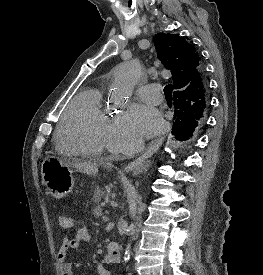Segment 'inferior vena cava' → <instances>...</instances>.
Segmentation results:
<instances>
[{
  "label": "inferior vena cava",
  "instance_id": "1",
  "mask_svg": "<svg viewBox=\"0 0 263 275\" xmlns=\"http://www.w3.org/2000/svg\"><path fill=\"white\" fill-rule=\"evenodd\" d=\"M144 148V141L142 138L138 139L135 145V148L133 149V151H129V152H125V154L131 156L136 152L141 151Z\"/></svg>",
  "mask_w": 263,
  "mask_h": 275
}]
</instances>
